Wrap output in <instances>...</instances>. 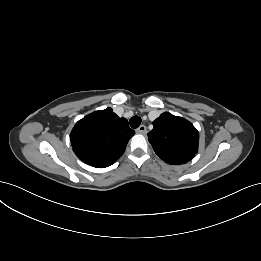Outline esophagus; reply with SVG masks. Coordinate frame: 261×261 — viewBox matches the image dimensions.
Wrapping results in <instances>:
<instances>
[{"label":"esophagus","mask_w":261,"mask_h":261,"mask_svg":"<svg viewBox=\"0 0 261 261\" xmlns=\"http://www.w3.org/2000/svg\"><path fill=\"white\" fill-rule=\"evenodd\" d=\"M136 132L139 133V134H145L146 133V126L145 125H140L137 128Z\"/></svg>","instance_id":"1"}]
</instances>
